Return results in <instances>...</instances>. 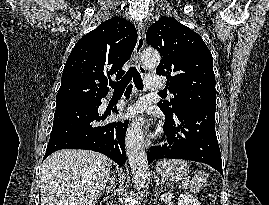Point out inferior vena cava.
<instances>
[{
  "label": "inferior vena cava",
  "instance_id": "602c4592",
  "mask_svg": "<svg viewBox=\"0 0 269 205\" xmlns=\"http://www.w3.org/2000/svg\"><path fill=\"white\" fill-rule=\"evenodd\" d=\"M109 180H111V185H113L114 184V178H110Z\"/></svg>",
  "mask_w": 269,
  "mask_h": 205
}]
</instances>
